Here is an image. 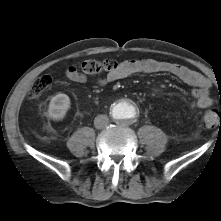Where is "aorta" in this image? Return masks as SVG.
I'll list each match as a JSON object with an SVG mask.
<instances>
[{"label": "aorta", "instance_id": "762f6f07", "mask_svg": "<svg viewBox=\"0 0 221 221\" xmlns=\"http://www.w3.org/2000/svg\"><path fill=\"white\" fill-rule=\"evenodd\" d=\"M110 113L119 124H129L138 117L139 108L133 101L121 99L113 104Z\"/></svg>", "mask_w": 221, "mask_h": 221}]
</instances>
